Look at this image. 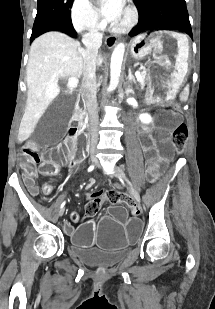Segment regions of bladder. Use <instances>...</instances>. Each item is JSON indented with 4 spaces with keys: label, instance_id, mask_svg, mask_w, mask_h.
Here are the masks:
<instances>
[{
    "label": "bladder",
    "instance_id": "1",
    "mask_svg": "<svg viewBox=\"0 0 215 309\" xmlns=\"http://www.w3.org/2000/svg\"><path fill=\"white\" fill-rule=\"evenodd\" d=\"M126 255V251L115 253L76 252V256L82 263L92 267H111L117 265L125 259Z\"/></svg>",
    "mask_w": 215,
    "mask_h": 309
}]
</instances>
